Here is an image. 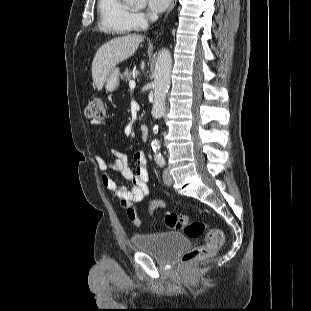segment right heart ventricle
I'll use <instances>...</instances> for the list:
<instances>
[{
	"instance_id": "right-heart-ventricle-1",
	"label": "right heart ventricle",
	"mask_w": 311,
	"mask_h": 311,
	"mask_svg": "<svg viewBox=\"0 0 311 311\" xmlns=\"http://www.w3.org/2000/svg\"><path fill=\"white\" fill-rule=\"evenodd\" d=\"M99 27L105 32L125 35L136 28L132 10L124 0H98Z\"/></svg>"
}]
</instances>
